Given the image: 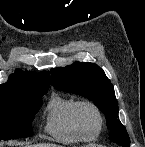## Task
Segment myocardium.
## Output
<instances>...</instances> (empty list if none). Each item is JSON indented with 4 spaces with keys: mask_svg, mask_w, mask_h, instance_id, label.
I'll return each mask as SVG.
<instances>
[{
    "mask_svg": "<svg viewBox=\"0 0 145 147\" xmlns=\"http://www.w3.org/2000/svg\"><path fill=\"white\" fill-rule=\"evenodd\" d=\"M86 112L94 114L96 118V129L94 132L99 135L104 126V116L101 109L91 100H82L79 102L76 112L77 121L84 131H89V127L85 119Z\"/></svg>",
    "mask_w": 145,
    "mask_h": 147,
    "instance_id": "1",
    "label": "myocardium"
}]
</instances>
